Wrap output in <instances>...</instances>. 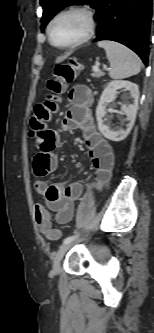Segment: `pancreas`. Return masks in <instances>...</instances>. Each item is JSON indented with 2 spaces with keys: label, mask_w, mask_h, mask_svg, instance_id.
I'll list each match as a JSON object with an SVG mask.
<instances>
[{
  "label": "pancreas",
  "mask_w": 154,
  "mask_h": 333,
  "mask_svg": "<svg viewBox=\"0 0 154 333\" xmlns=\"http://www.w3.org/2000/svg\"><path fill=\"white\" fill-rule=\"evenodd\" d=\"M104 75H105V73L103 71L93 68V72L91 74L92 77L100 78Z\"/></svg>",
  "instance_id": "1"
}]
</instances>
